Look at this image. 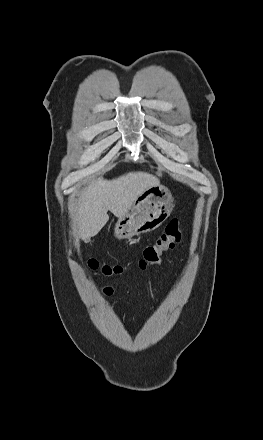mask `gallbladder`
<instances>
[{"mask_svg": "<svg viewBox=\"0 0 263 440\" xmlns=\"http://www.w3.org/2000/svg\"><path fill=\"white\" fill-rule=\"evenodd\" d=\"M84 240H85L86 243H88L90 241L89 238H85Z\"/></svg>", "mask_w": 263, "mask_h": 440, "instance_id": "gallbladder-1", "label": "gallbladder"}]
</instances>
